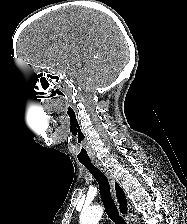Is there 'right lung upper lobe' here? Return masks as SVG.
I'll list each match as a JSON object with an SVG mask.
<instances>
[{"label":"right lung upper lobe","mask_w":187,"mask_h":224,"mask_svg":"<svg viewBox=\"0 0 187 224\" xmlns=\"http://www.w3.org/2000/svg\"><path fill=\"white\" fill-rule=\"evenodd\" d=\"M115 189H116L117 197L120 203L121 212L124 213L127 211V202H126L125 194L117 183H115Z\"/></svg>","instance_id":"right-lung-upper-lobe-1"}]
</instances>
